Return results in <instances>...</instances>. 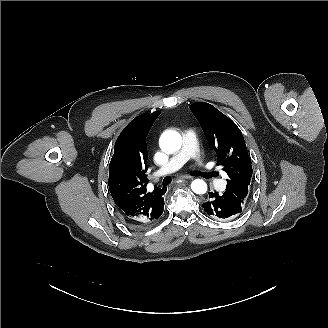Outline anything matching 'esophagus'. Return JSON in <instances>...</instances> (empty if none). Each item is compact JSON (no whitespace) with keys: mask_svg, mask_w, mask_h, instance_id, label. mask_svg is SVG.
Segmentation results:
<instances>
[{"mask_svg":"<svg viewBox=\"0 0 328 328\" xmlns=\"http://www.w3.org/2000/svg\"><path fill=\"white\" fill-rule=\"evenodd\" d=\"M192 176H188V175H182L180 176V179H192Z\"/></svg>","mask_w":328,"mask_h":328,"instance_id":"1","label":"esophagus"}]
</instances>
